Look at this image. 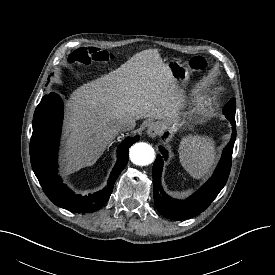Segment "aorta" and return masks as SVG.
I'll return each instance as SVG.
<instances>
[{
	"mask_svg": "<svg viewBox=\"0 0 275 275\" xmlns=\"http://www.w3.org/2000/svg\"><path fill=\"white\" fill-rule=\"evenodd\" d=\"M129 156L134 164L145 166L154 161L155 152L149 144L139 142L130 148Z\"/></svg>",
	"mask_w": 275,
	"mask_h": 275,
	"instance_id": "aorta-1",
	"label": "aorta"
}]
</instances>
